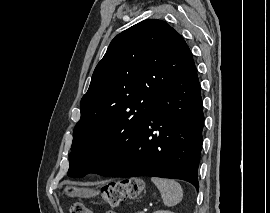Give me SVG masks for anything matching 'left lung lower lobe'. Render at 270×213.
<instances>
[{
	"label": "left lung lower lobe",
	"mask_w": 270,
	"mask_h": 213,
	"mask_svg": "<svg viewBox=\"0 0 270 213\" xmlns=\"http://www.w3.org/2000/svg\"><path fill=\"white\" fill-rule=\"evenodd\" d=\"M204 115L195 64L182 71L151 114L122 144L109 148L90 173L182 179L198 190Z\"/></svg>",
	"instance_id": "0a47b994"
}]
</instances>
